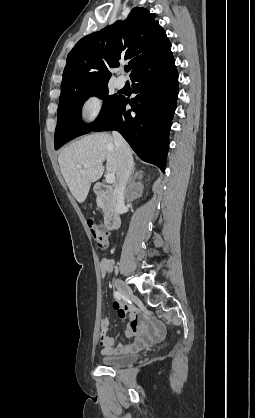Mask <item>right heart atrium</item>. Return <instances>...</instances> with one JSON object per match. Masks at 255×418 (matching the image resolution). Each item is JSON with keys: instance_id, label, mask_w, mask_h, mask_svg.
Instances as JSON below:
<instances>
[{"instance_id": "d8ad5b80", "label": "right heart atrium", "mask_w": 255, "mask_h": 418, "mask_svg": "<svg viewBox=\"0 0 255 418\" xmlns=\"http://www.w3.org/2000/svg\"><path fill=\"white\" fill-rule=\"evenodd\" d=\"M103 110V100L97 94L89 95L81 104L80 113L83 121L94 122L101 115Z\"/></svg>"}]
</instances>
